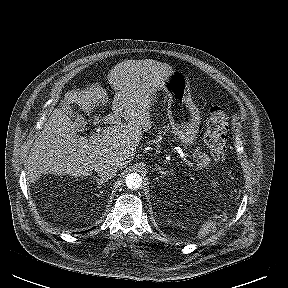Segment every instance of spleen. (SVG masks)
Returning <instances> with one entry per match:
<instances>
[{
    "instance_id": "spleen-1",
    "label": "spleen",
    "mask_w": 288,
    "mask_h": 288,
    "mask_svg": "<svg viewBox=\"0 0 288 288\" xmlns=\"http://www.w3.org/2000/svg\"><path fill=\"white\" fill-rule=\"evenodd\" d=\"M214 226H215V222H213L212 220L205 221L201 225L200 229L198 230L197 236L199 238L205 237L207 234H209L212 231Z\"/></svg>"
}]
</instances>
